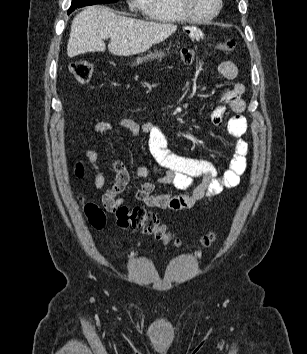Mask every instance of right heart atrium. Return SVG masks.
Listing matches in <instances>:
<instances>
[{"mask_svg":"<svg viewBox=\"0 0 307 354\" xmlns=\"http://www.w3.org/2000/svg\"><path fill=\"white\" fill-rule=\"evenodd\" d=\"M144 0H129L130 6L132 7H142Z\"/></svg>","mask_w":307,"mask_h":354,"instance_id":"d8ad5b80","label":"right heart atrium"}]
</instances>
